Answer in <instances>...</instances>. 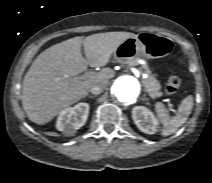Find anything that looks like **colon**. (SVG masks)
Segmentation results:
<instances>
[{"instance_id": "1", "label": "colon", "mask_w": 212, "mask_h": 183, "mask_svg": "<svg viewBox=\"0 0 212 183\" xmlns=\"http://www.w3.org/2000/svg\"><path fill=\"white\" fill-rule=\"evenodd\" d=\"M180 78L177 74L171 73L166 84V93L171 95L177 92L180 86Z\"/></svg>"}]
</instances>
